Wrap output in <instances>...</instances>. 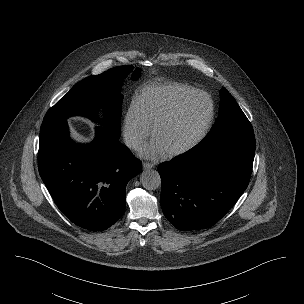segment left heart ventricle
Instances as JSON below:
<instances>
[{
    "mask_svg": "<svg viewBox=\"0 0 304 304\" xmlns=\"http://www.w3.org/2000/svg\"><path fill=\"white\" fill-rule=\"evenodd\" d=\"M208 113V103L197 98L188 102L173 118L162 124L155 138L167 152L189 143L199 132Z\"/></svg>",
    "mask_w": 304,
    "mask_h": 304,
    "instance_id": "b2bd125f",
    "label": "left heart ventricle"
}]
</instances>
